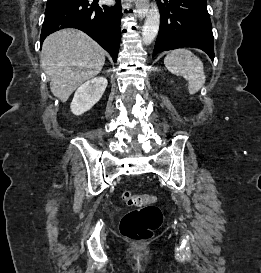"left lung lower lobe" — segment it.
<instances>
[{
  "label": "left lung lower lobe",
  "instance_id": "obj_1",
  "mask_svg": "<svg viewBox=\"0 0 261 273\" xmlns=\"http://www.w3.org/2000/svg\"><path fill=\"white\" fill-rule=\"evenodd\" d=\"M158 2L160 28L153 56L181 47L199 48L214 59L213 34L206 0Z\"/></svg>",
  "mask_w": 261,
  "mask_h": 273
}]
</instances>
